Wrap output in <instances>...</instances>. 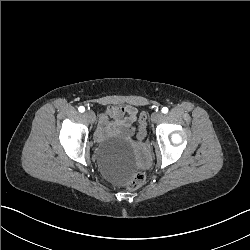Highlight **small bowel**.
I'll list each match as a JSON object with an SVG mask.
<instances>
[{
	"instance_id": "c3829d8e",
	"label": "small bowel",
	"mask_w": 250,
	"mask_h": 250,
	"mask_svg": "<svg viewBox=\"0 0 250 250\" xmlns=\"http://www.w3.org/2000/svg\"><path fill=\"white\" fill-rule=\"evenodd\" d=\"M113 118V121H109ZM136 119V108L131 105L110 106L101 114L95 138L101 140L106 134L130 138L135 133L133 123Z\"/></svg>"
}]
</instances>
